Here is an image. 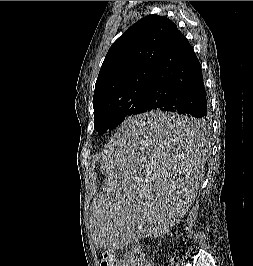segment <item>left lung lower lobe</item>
<instances>
[{
    "mask_svg": "<svg viewBox=\"0 0 253 266\" xmlns=\"http://www.w3.org/2000/svg\"><path fill=\"white\" fill-rule=\"evenodd\" d=\"M154 109L193 119L154 125L148 132L173 138H196L207 126L208 109L201 66L193 48L178 29L158 60L147 93L144 112Z\"/></svg>",
    "mask_w": 253,
    "mask_h": 266,
    "instance_id": "obj_1",
    "label": "left lung lower lobe"
}]
</instances>
